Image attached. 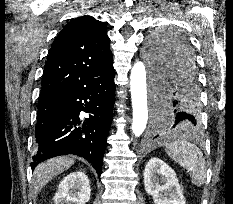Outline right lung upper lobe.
Masks as SVG:
<instances>
[{
    "label": "right lung upper lobe",
    "instance_id": "right-lung-upper-lobe-1",
    "mask_svg": "<svg viewBox=\"0 0 233 204\" xmlns=\"http://www.w3.org/2000/svg\"><path fill=\"white\" fill-rule=\"evenodd\" d=\"M113 66L104 25L91 16L70 21L51 45L44 66L40 99L72 88Z\"/></svg>",
    "mask_w": 233,
    "mask_h": 204
}]
</instances>
